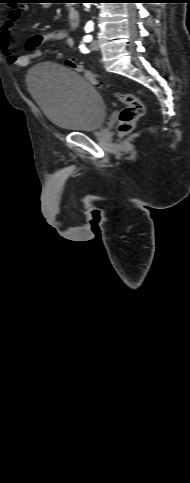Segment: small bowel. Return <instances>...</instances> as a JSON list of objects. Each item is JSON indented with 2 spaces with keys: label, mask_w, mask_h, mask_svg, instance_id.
Listing matches in <instances>:
<instances>
[{
  "label": "small bowel",
  "mask_w": 190,
  "mask_h": 483,
  "mask_svg": "<svg viewBox=\"0 0 190 483\" xmlns=\"http://www.w3.org/2000/svg\"><path fill=\"white\" fill-rule=\"evenodd\" d=\"M27 9L28 6L25 4H21L14 8L7 16L3 26L0 28V50L9 62L18 67L27 66L31 59L39 57L40 46L48 42L64 41L69 47H73L74 41L69 30L57 29L29 38L25 44L28 53L17 56L11 46V35L16 22Z\"/></svg>",
  "instance_id": "obj_1"
}]
</instances>
